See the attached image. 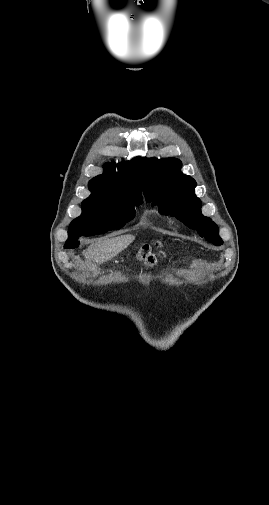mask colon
<instances>
[{
  "instance_id": "5ec220e1",
  "label": "colon",
  "mask_w": 269,
  "mask_h": 505,
  "mask_svg": "<svg viewBox=\"0 0 269 505\" xmlns=\"http://www.w3.org/2000/svg\"><path fill=\"white\" fill-rule=\"evenodd\" d=\"M139 258L148 266H152L156 261L155 255L151 253L148 247H145L140 251Z\"/></svg>"
}]
</instances>
